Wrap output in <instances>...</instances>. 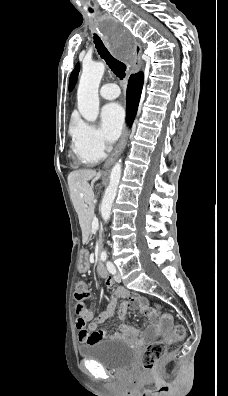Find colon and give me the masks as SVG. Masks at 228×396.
Listing matches in <instances>:
<instances>
[{"mask_svg": "<svg viewBox=\"0 0 228 396\" xmlns=\"http://www.w3.org/2000/svg\"><path fill=\"white\" fill-rule=\"evenodd\" d=\"M74 297L78 303L76 323L77 329H83L86 326L84 303L89 297V289L84 281H78L75 284ZM184 328L175 326L170 341H179L184 337ZM166 354V344L163 341L150 342L141 358V366L145 371H152Z\"/></svg>", "mask_w": 228, "mask_h": 396, "instance_id": "colon-1", "label": "colon"}]
</instances>
